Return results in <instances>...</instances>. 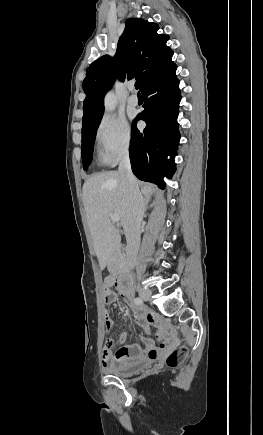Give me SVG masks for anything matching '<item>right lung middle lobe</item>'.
I'll return each mask as SVG.
<instances>
[{"label": "right lung middle lobe", "instance_id": "1", "mask_svg": "<svg viewBox=\"0 0 263 435\" xmlns=\"http://www.w3.org/2000/svg\"><path fill=\"white\" fill-rule=\"evenodd\" d=\"M102 118L95 124L85 129H82V160L84 170L88 169V165L92 161L93 146L96 132Z\"/></svg>", "mask_w": 263, "mask_h": 435}]
</instances>
